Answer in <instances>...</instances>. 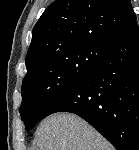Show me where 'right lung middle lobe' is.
<instances>
[{"instance_id":"obj_1","label":"right lung middle lobe","mask_w":139,"mask_h":150,"mask_svg":"<svg viewBox=\"0 0 139 150\" xmlns=\"http://www.w3.org/2000/svg\"><path fill=\"white\" fill-rule=\"evenodd\" d=\"M107 47L91 46L58 53L26 74L20 107L26 130H31L48 107L93 68Z\"/></svg>"}]
</instances>
